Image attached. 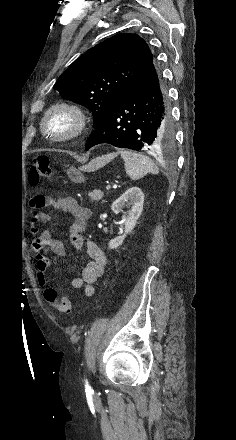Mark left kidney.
I'll return each instance as SVG.
<instances>
[{"label":"left kidney","mask_w":236,"mask_h":440,"mask_svg":"<svg viewBox=\"0 0 236 440\" xmlns=\"http://www.w3.org/2000/svg\"><path fill=\"white\" fill-rule=\"evenodd\" d=\"M143 204L144 194L139 187L129 188L122 196L113 202L111 209L115 214L122 212L125 207H127V211L122 215L124 234L110 240V249H116L119 247L123 243L125 237L132 232L142 213Z\"/></svg>","instance_id":"1"}]
</instances>
